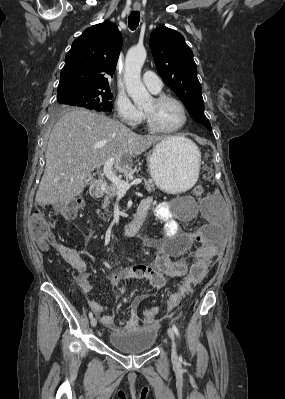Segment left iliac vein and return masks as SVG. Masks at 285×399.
I'll list each match as a JSON object with an SVG mask.
<instances>
[{"mask_svg": "<svg viewBox=\"0 0 285 399\" xmlns=\"http://www.w3.org/2000/svg\"><path fill=\"white\" fill-rule=\"evenodd\" d=\"M168 336H169V338L172 341V356L174 358H176L177 354H176L175 335H174V332H173V330L171 328L168 329Z\"/></svg>", "mask_w": 285, "mask_h": 399, "instance_id": "4c4485c4", "label": "left iliac vein"}]
</instances>
